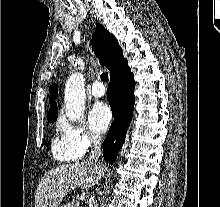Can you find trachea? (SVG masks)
I'll use <instances>...</instances> for the list:
<instances>
[{"label": "trachea", "instance_id": "3493384b", "mask_svg": "<svg viewBox=\"0 0 220 207\" xmlns=\"http://www.w3.org/2000/svg\"><path fill=\"white\" fill-rule=\"evenodd\" d=\"M100 78H101V80L102 81H104V82H108V73H102L101 75H100Z\"/></svg>", "mask_w": 220, "mask_h": 207}]
</instances>
